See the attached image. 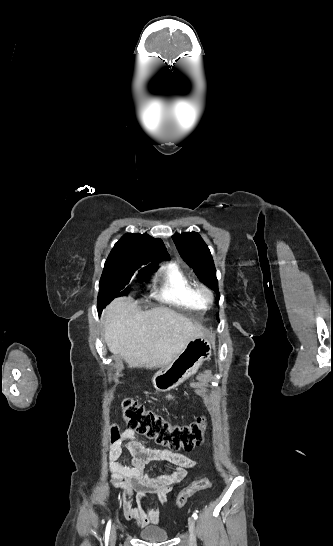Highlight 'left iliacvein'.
Here are the masks:
<instances>
[{"mask_svg":"<svg viewBox=\"0 0 333 546\" xmlns=\"http://www.w3.org/2000/svg\"><path fill=\"white\" fill-rule=\"evenodd\" d=\"M188 528H189V544L190 546H196L195 520L192 517L188 519Z\"/></svg>","mask_w":333,"mask_h":546,"instance_id":"obj_1","label":"left iliac vein"}]
</instances>
